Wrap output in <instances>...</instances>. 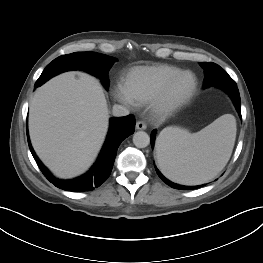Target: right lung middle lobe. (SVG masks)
Wrapping results in <instances>:
<instances>
[{
	"instance_id": "obj_1",
	"label": "right lung middle lobe",
	"mask_w": 263,
	"mask_h": 263,
	"mask_svg": "<svg viewBox=\"0 0 263 263\" xmlns=\"http://www.w3.org/2000/svg\"><path fill=\"white\" fill-rule=\"evenodd\" d=\"M116 61L113 57L95 52H75L62 55L47 65L39 79L47 81L61 72L80 69L101 77L103 85L107 88L109 84L107 73Z\"/></svg>"
}]
</instances>
